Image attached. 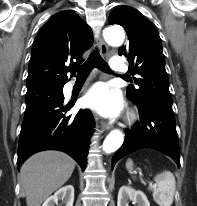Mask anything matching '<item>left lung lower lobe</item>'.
<instances>
[{
  "mask_svg": "<svg viewBox=\"0 0 197 206\" xmlns=\"http://www.w3.org/2000/svg\"><path fill=\"white\" fill-rule=\"evenodd\" d=\"M130 98V97H129ZM140 110V121L126 130L123 145L112 158V169L122 157L141 148H153L180 166L178 135L172 106L152 100L130 98Z\"/></svg>",
  "mask_w": 197,
  "mask_h": 206,
  "instance_id": "0a47b994",
  "label": "left lung lower lobe"
}]
</instances>
